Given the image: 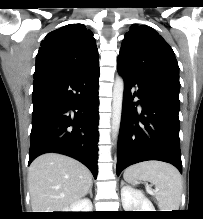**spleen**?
<instances>
[{
  "instance_id": "1",
  "label": "spleen",
  "mask_w": 203,
  "mask_h": 219,
  "mask_svg": "<svg viewBox=\"0 0 203 219\" xmlns=\"http://www.w3.org/2000/svg\"><path fill=\"white\" fill-rule=\"evenodd\" d=\"M124 179L133 184L148 181L155 185V198L160 211L179 210L182 178L172 165L160 161L141 162L128 167Z\"/></svg>"
}]
</instances>
